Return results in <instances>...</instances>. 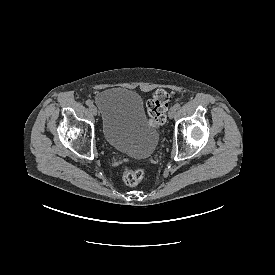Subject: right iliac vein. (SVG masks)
I'll return each instance as SVG.
<instances>
[{"label":"right iliac vein","instance_id":"right-iliac-vein-1","mask_svg":"<svg viewBox=\"0 0 275 275\" xmlns=\"http://www.w3.org/2000/svg\"><path fill=\"white\" fill-rule=\"evenodd\" d=\"M90 110H91V113H92L93 115H97V112H98V111H97V108H96L95 106L92 105V106L90 107Z\"/></svg>","mask_w":275,"mask_h":275}]
</instances>
